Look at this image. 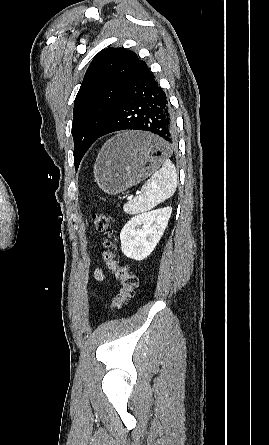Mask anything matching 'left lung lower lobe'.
<instances>
[{
	"mask_svg": "<svg viewBox=\"0 0 269 445\" xmlns=\"http://www.w3.org/2000/svg\"><path fill=\"white\" fill-rule=\"evenodd\" d=\"M127 129L152 132L168 145L175 142V122L167 96L142 60L130 76L98 138Z\"/></svg>",
	"mask_w": 269,
	"mask_h": 445,
	"instance_id": "obj_1",
	"label": "left lung lower lobe"
}]
</instances>
